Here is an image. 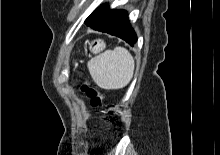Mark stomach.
I'll return each mask as SVG.
<instances>
[{
  "label": "stomach",
  "mask_w": 220,
  "mask_h": 155,
  "mask_svg": "<svg viewBox=\"0 0 220 155\" xmlns=\"http://www.w3.org/2000/svg\"><path fill=\"white\" fill-rule=\"evenodd\" d=\"M105 48V44H104V42L103 41H101V40H98L97 41V45L94 47V49H93V52L94 53H97V52H99L100 50H103Z\"/></svg>",
  "instance_id": "1"
}]
</instances>
